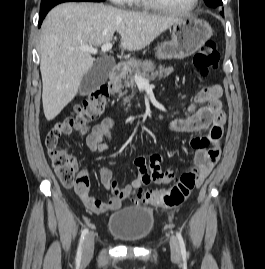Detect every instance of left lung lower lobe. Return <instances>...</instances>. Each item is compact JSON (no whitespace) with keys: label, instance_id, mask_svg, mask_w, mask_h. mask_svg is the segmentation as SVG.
<instances>
[{"label":"left lung lower lobe","instance_id":"1","mask_svg":"<svg viewBox=\"0 0 265 269\" xmlns=\"http://www.w3.org/2000/svg\"><path fill=\"white\" fill-rule=\"evenodd\" d=\"M221 15L224 16L223 12H221Z\"/></svg>","mask_w":265,"mask_h":269}]
</instances>
